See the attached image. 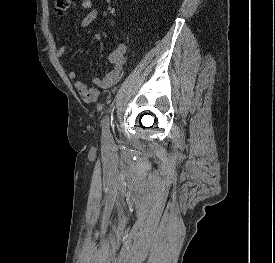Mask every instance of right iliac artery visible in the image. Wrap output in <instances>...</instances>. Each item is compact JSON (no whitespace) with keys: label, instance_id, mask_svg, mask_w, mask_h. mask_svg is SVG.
I'll return each mask as SVG.
<instances>
[{"label":"right iliac artery","instance_id":"obj_1","mask_svg":"<svg viewBox=\"0 0 275 263\" xmlns=\"http://www.w3.org/2000/svg\"><path fill=\"white\" fill-rule=\"evenodd\" d=\"M109 122H110V116L109 114L105 117L104 122H103V130H102V134H103V138L106 141H110L111 140V133H110V129H109Z\"/></svg>","mask_w":275,"mask_h":263}]
</instances>
